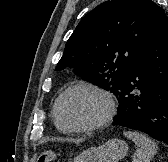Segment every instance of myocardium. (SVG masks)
I'll return each mask as SVG.
<instances>
[{
	"label": "myocardium",
	"instance_id": "myocardium-1",
	"mask_svg": "<svg viewBox=\"0 0 168 162\" xmlns=\"http://www.w3.org/2000/svg\"><path fill=\"white\" fill-rule=\"evenodd\" d=\"M77 90L93 91L98 95H100L105 100L106 112L101 119H99L96 122L86 124V125H80V126H70L62 121L59 113L61 101L69 93ZM115 111H116L115 101L112 95L110 94V92L100 86H97L91 83H78L68 87L57 97L53 106V116H54L55 122L61 129L67 132H88V131H95V130L102 129L111 122V120L115 115Z\"/></svg>",
	"mask_w": 168,
	"mask_h": 162
}]
</instances>
